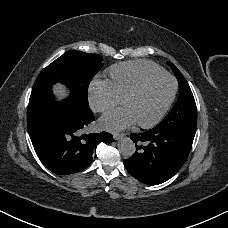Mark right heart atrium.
Instances as JSON below:
<instances>
[{
	"mask_svg": "<svg viewBox=\"0 0 228 228\" xmlns=\"http://www.w3.org/2000/svg\"><path fill=\"white\" fill-rule=\"evenodd\" d=\"M122 102L109 80H97L89 88V103L96 112L105 113Z\"/></svg>",
	"mask_w": 228,
	"mask_h": 228,
	"instance_id": "d8ad5b80",
	"label": "right heart atrium"
}]
</instances>
